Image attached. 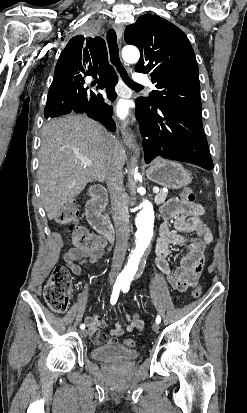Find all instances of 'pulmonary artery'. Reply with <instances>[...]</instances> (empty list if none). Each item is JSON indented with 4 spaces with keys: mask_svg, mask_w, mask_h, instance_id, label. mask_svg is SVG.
I'll return each instance as SVG.
<instances>
[{
    "mask_svg": "<svg viewBox=\"0 0 247 413\" xmlns=\"http://www.w3.org/2000/svg\"><path fill=\"white\" fill-rule=\"evenodd\" d=\"M136 74H138L139 72L136 71ZM89 81V80H88ZM147 84L151 89H155V84L151 81V78L149 76H144V75H136L135 76V84L138 87H142L144 84Z\"/></svg>",
    "mask_w": 247,
    "mask_h": 413,
    "instance_id": "e3ab8cb5",
    "label": "pulmonary artery"
}]
</instances>
